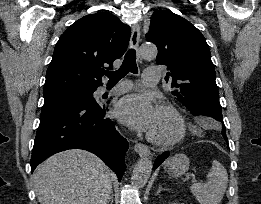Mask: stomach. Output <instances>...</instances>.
Segmentation results:
<instances>
[{"label":"stomach","mask_w":261,"mask_h":204,"mask_svg":"<svg viewBox=\"0 0 261 204\" xmlns=\"http://www.w3.org/2000/svg\"><path fill=\"white\" fill-rule=\"evenodd\" d=\"M189 159L184 154H176L171 157L165 164V167L168 168L169 173L178 177L185 174L189 169Z\"/></svg>","instance_id":"stomach-1"}]
</instances>
